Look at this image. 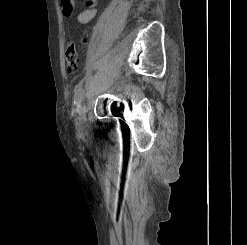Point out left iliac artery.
I'll return each instance as SVG.
<instances>
[{
  "label": "left iliac artery",
  "mask_w": 247,
  "mask_h": 245,
  "mask_svg": "<svg viewBox=\"0 0 247 245\" xmlns=\"http://www.w3.org/2000/svg\"><path fill=\"white\" fill-rule=\"evenodd\" d=\"M83 97H84V90L82 87H79L74 96V104L78 106L82 102Z\"/></svg>",
  "instance_id": "obj_1"
}]
</instances>
